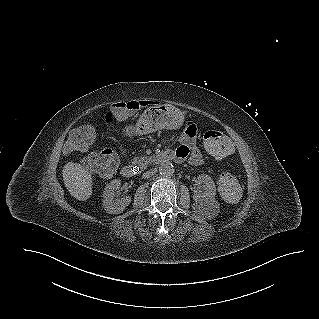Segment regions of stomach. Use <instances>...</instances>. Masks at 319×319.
<instances>
[{"label":"stomach","mask_w":319,"mask_h":319,"mask_svg":"<svg viewBox=\"0 0 319 319\" xmlns=\"http://www.w3.org/2000/svg\"><path fill=\"white\" fill-rule=\"evenodd\" d=\"M184 114L169 104H160L143 110L133 122L141 130V138L158 133L161 129H178L183 125Z\"/></svg>","instance_id":"0dacf381"}]
</instances>
